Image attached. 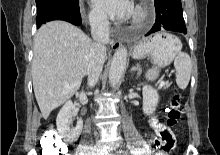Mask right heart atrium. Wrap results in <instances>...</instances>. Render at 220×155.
Instances as JSON below:
<instances>
[{
    "mask_svg": "<svg viewBox=\"0 0 220 155\" xmlns=\"http://www.w3.org/2000/svg\"><path fill=\"white\" fill-rule=\"evenodd\" d=\"M90 24L99 29L106 28L108 26L107 17L95 8H91L88 14Z\"/></svg>",
    "mask_w": 220,
    "mask_h": 155,
    "instance_id": "obj_1",
    "label": "right heart atrium"
}]
</instances>
